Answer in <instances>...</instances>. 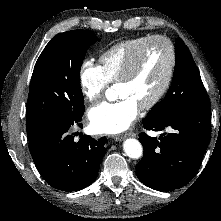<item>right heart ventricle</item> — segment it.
<instances>
[{
    "mask_svg": "<svg viewBox=\"0 0 221 221\" xmlns=\"http://www.w3.org/2000/svg\"><path fill=\"white\" fill-rule=\"evenodd\" d=\"M148 38V36H143L126 39L108 47L101 53L99 56L100 67L109 82H117L128 60Z\"/></svg>",
    "mask_w": 221,
    "mask_h": 221,
    "instance_id": "right-heart-ventricle-1",
    "label": "right heart ventricle"
}]
</instances>
